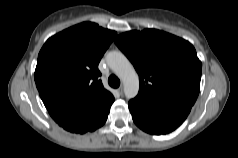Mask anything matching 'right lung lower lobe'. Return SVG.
Masks as SVG:
<instances>
[{"mask_svg": "<svg viewBox=\"0 0 238 158\" xmlns=\"http://www.w3.org/2000/svg\"><path fill=\"white\" fill-rule=\"evenodd\" d=\"M112 103L105 106L92 104L54 108L48 111L51 117L65 130L83 134L94 131L105 123Z\"/></svg>", "mask_w": 238, "mask_h": 158, "instance_id": "98d812e1", "label": "right lung lower lobe"}]
</instances>
